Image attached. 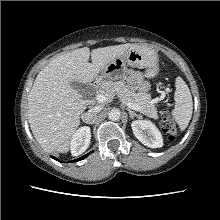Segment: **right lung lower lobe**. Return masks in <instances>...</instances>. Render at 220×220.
I'll return each mask as SVG.
<instances>
[{
    "label": "right lung lower lobe",
    "mask_w": 220,
    "mask_h": 220,
    "mask_svg": "<svg viewBox=\"0 0 220 220\" xmlns=\"http://www.w3.org/2000/svg\"><path fill=\"white\" fill-rule=\"evenodd\" d=\"M90 153H92V152H90ZM90 153H88V154H86V155L82 156V157H81V158H79V159L73 160V161H71V162L80 161V160H82V159L86 158V157H87V156H88ZM52 158L58 161V159H57V158H55V157H53V156H52Z\"/></svg>",
    "instance_id": "1"
}]
</instances>
